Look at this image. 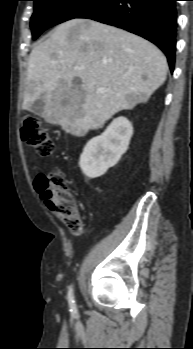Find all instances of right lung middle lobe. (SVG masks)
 <instances>
[{
	"label": "right lung middle lobe",
	"instance_id": "dd1d6c3e",
	"mask_svg": "<svg viewBox=\"0 0 193 349\" xmlns=\"http://www.w3.org/2000/svg\"><path fill=\"white\" fill-rule=\"evenodd\" d=\"M34 13L31 17L33 39L44 30L77 18L98 0H33Z\"/></svg>",
	"mask_w": 193,
	"mask_h": 349
}]
</instances>
